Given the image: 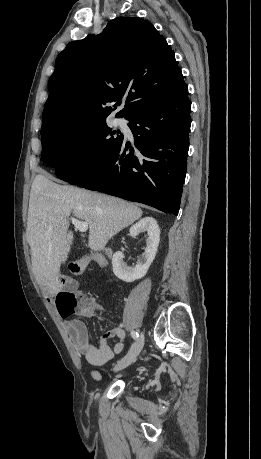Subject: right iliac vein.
I'll return each mask as SVG.
<instances>
[{
    "label": "right iliac vein",
    "mask_w": 261,
    "mask_h": 459,
    "mask_svg": "<svg viewBox=\"0 0 261 459\" xmlns=\"http://www.w3.org/2000/svg\"><path fill=\"white\" fill-rule=\"evenodd\" d=\"M143 345H144V334L142 333L140 338L135 343V345L129 351V353L124 358H122L117 363V365L114 367V371H120L126 368L127 366H129L130 364H132L135 361L138 354L141 352Z\"/></svg>",
    "instance_id": "1"
}]
</instances>
